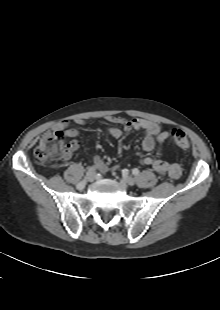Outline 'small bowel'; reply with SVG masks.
I'll use <instances>...</instances> for the list:
<instances>
[{"mask_svg":"<svg viewBox=\"0 0 220 310\" xmlns=\"http://www.w3.org/2000/svg\"><path fill=\"white\" fill-rule=\"evenodd\" d=\"M106 120L122 126V128L116 126L109 128L110 135L115 139L121 138L124 132H129L131 130L143 131V139L141 143L142 149L145 152H150L157 149V152L155 156L143 157L140 160L142 165L152 166L157 173L168 175L173 179H178L181 176L182 170L178 163L167 162L160 158V147L163 143L171 139V134L169 131L164 130L159 123L142 118L125 119L118 116H108L106 117ZM75 123L78 125H84L85 122L83 119L79 118L75 120ZM54 129L61 130L64 137L71 139L67 145L68 154L65 156L66 158H69L79 148V142L76 139L79 135V130L70 127L68 121H61L57 123ZM94 163L102 172H107L109 170L108 166L98 155L94 157Z\"/></svg>","mask_w":220,"mask_h":310,"instance_id":"small-bowel-1","label":"small bowel"}]
</instances>
